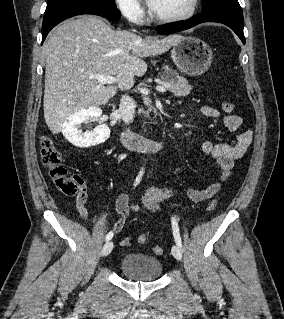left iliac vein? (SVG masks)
<instances>
[{
    "mask_svg": "<svg viewBox=\"0 0 284 319\" xmlns=\"http://www.w3.org/2000/svg\"><path fill=\"white\" fill-rule=\"evenodd\" d=\"M171 251H172L173 256L177 260H181L182 259V250H181V248L178 245H173Z\"/></svg>",
    "mask_w": 284,
    "mask_h": 319,
    "instance_id": "obj_1",
    "label": "left iliac vein"
}]
</instances>
